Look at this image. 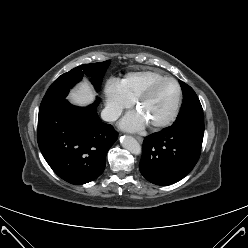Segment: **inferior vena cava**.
<instances>
[{"mask_svg": "<svg viewBox=\"0 0 248 248\" xmlns=\"http://www.w3.org/2000/svg\"><path fill=\"white\" fill-rule=\"evenodd\" d=\"M121 115V111L115 108L106 107L101 112V117L104 121H116Z\"/></svg>", "mask_w": 248, "mask_h": 248, "instance_id": "602c4592", "label": "inferior vena cava"}]
</instances>
